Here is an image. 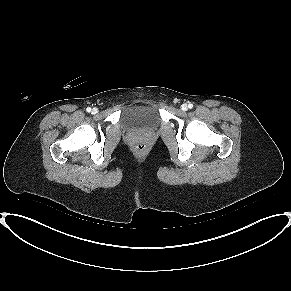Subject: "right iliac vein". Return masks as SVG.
Returning <instances> with one entry per match:
<instances>
[{"mask_svg": "<svg viewBox=\"0 0 291 291\" xmlns=\"http://www.w3.org/2000/svg\"><path fill=\"white\" fill-rule=\"evenodd\" d=\"M97 112H98L97 108H94V109L92 110V113H93V114H96Z\"/></svg>", "mask_w": 291, "mask_h": 291, "instance_id": "63e3f726", "label": "right iliac vein"}]
</instances>
